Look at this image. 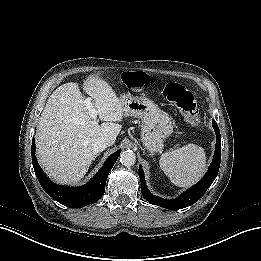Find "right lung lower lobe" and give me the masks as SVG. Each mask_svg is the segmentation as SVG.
I'll return each mask as SVG.
<instances>
[{
	"label": "right lung lower lobe",
	"instance_id": "1",
	"mask_svg": "<svg viewBox=\"0 0 261 261\" xmlns=\"http://www.w3.org/2000/svg\"><path fill=\"white\" fill-rule=\"evenodd\" d=\"M121 151L113 153L97 175L81 187L59 186L51 182L42 171L35 157V140H32V163L42 188L59 203L70 208H81L98 201L105 192L106 180Z\"/></svg>",
	"mask_w": 261,
	"mask_h": 261
}]
</instances>
